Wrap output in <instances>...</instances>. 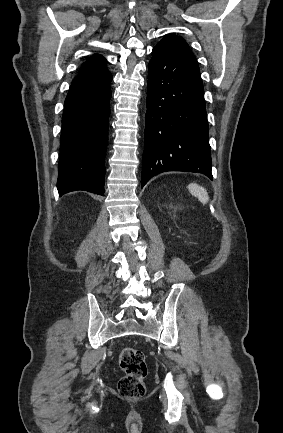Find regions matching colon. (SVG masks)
<instances>
[{
  "instance_id": "obj_1",
  "label": "colon",
  "mask_w": 283,
  "mask_h": 433,
  "mask_svg": "<svg viewBox=\"0 0 283 433\" xmlns=\"http://www.w3.org/2000/svg\"><path fill=\"white\" fill-rule=\"evenodd\" d=\"M119 365L123 371L118 382V391L122 397L137 399L144 395V379L147 375L145 355L133 347H124L119 354Z\"/></svg>"
}]
</instances>
